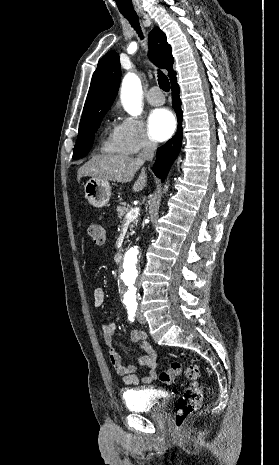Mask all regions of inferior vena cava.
Here are the masks:
<instances>
[{"mask_svg": "<svg viewBox=\"0 0 279 465\" xmlns=\"http://www.w3.org/2000/svg\"><path fill=\"white\" fill-rule=\"evenodd\" d=\"M156 148L157 144L155 141L151 139H146L143 150L139 154L138 159L141 162L152 160Z\"/></svg>", "mask_w": 279, "mask_h": 465, "instance_id": "obj_1", "label": "inferior vena cava"}]
</instances>
